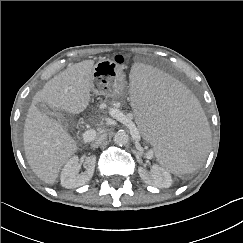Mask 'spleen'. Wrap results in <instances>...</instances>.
<instances>
[{
	"label": "spleen",
	"instance_id": "3e777b00",
	"mask_svg": "<svg viewBox=\"0 0 243 243\" xmlns=\"http://www.w3.org/2000/svg\"><path fill=\"white\" fill-rule=\"evenodd\" d=\"M130 108L162 167L191 172L204 160L208 123L192 93L178 80L144 62L126 69Z\"/></svg>",
	"mask_w": 243,
	"mask_h": 243
}]
</instances>
